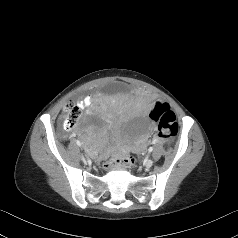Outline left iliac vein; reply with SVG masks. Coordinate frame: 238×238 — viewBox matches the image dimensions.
Instances as JSON below:
<instances>
[{
	"instance_id": "1",
	"label": "left iliac vein",
	"mask_w": 238,
	"mask_h": 238,
	"mask_svg": "<svg viewBox=\"0 0 238 238\" xmlns=\"http://www.w3.org/2000/svg\"><path fill=\"white\" fill-rule=\"evenodd\" d=\"M153 165V161L151 159L147 160L145 163L146 168H150Z\"/></svg>"
}]
</instances>
